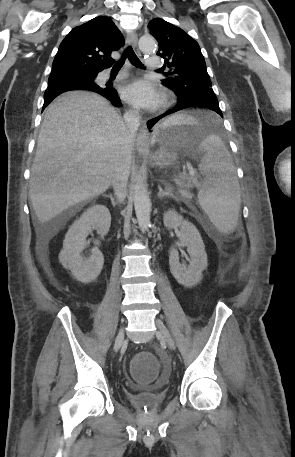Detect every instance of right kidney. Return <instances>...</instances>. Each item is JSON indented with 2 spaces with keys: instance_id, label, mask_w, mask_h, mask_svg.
Here are the masks:
<instances>
[{
  "instance_id": "ca27d5eb",
  "label": "right kidney",
  "mask_w": 295,
  "mask_h": 457,
  "mask_svg": "<svg viewBox=\"0 0 295 457\" xmlns=\"http://www.w3.org/2000/svg\"><path fill=\"white\" fill-rule=\"evenodd\" d=\"M111 225V215L104 205H94L88 208L81 217L69 228L59 260L64 268L69 269L73 276L82 283L95 280L102 271L103 254L98 248L91 250V256L83 259L80 255L85 248V240L89 233L96 229L100 235H105Z\"/></svg>"
}]
</instances>
